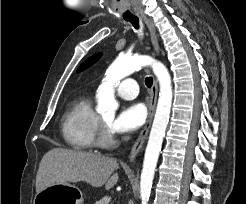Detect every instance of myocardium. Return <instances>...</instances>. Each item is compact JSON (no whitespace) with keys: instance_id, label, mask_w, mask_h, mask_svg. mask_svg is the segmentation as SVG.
I'll return each instance as SVG.
<instances>
[{"instance_id":"1","label":"myocardium","mask_w":246,"mask_h":204,"mask_svg":"<svg viewBox=\"0 0 246 204\" xmlns=\"http://www.w3.org/2000/svg\"><path fill=\"white\" fill-rule=\"evenodd\" d=\"M96 143L98 146L104 148L111 147L116 143V140L114 138L110 126L101 117H99V122H98Z\"/></svg>"}]
</instances>
